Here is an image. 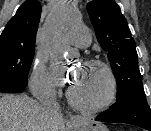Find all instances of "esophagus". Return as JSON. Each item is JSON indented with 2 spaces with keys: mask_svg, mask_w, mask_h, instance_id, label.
I'll return each instance as SVG.
<instances>
[{
  "mask_svg": "<svg viewBox=\"0 0 151 131\" xmlns=\"http://www.w3.org/2000/svg\"><path fill=\"white\" fill-rule=\"evenodd\" d=\"M80 120V117L78 115H72L70 116V121L71 122H77Z\"/></svg>",
  "mask_w": 151,
  "mask_h": 131,
  "instance_id": "obj_1",
  "label": "esophagus"
}]
</instances>
